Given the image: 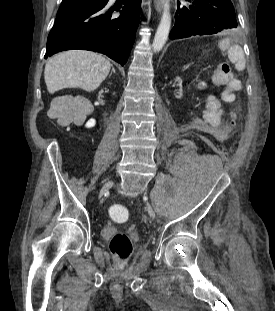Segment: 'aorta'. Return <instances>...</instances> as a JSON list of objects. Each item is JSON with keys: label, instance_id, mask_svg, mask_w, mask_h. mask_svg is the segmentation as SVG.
I'll return each instance as SVG.
<instances>
[{"label": "aorta", "instance_id": "aorta-1", "mask_svg": "<svg viewBox=\"0 0 275 311\" xmlns=\"http://www.w3.org/2000/svg\"><path fill=\"white\" fill-rule=\"evenodd\" d=\"M170 27H171L170 6L169 1L166 0L163 7V14L161 17V21L157 28L152 44L154 52H159L164 47L169 35Z\"/></svg>", "mask_w": 275, "mask_h": 311}]
</instances>
